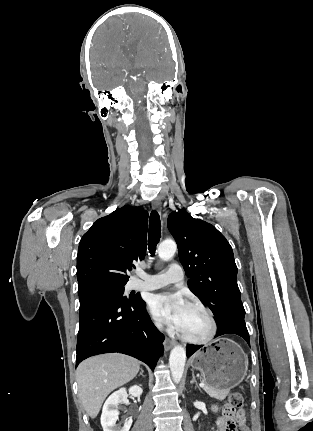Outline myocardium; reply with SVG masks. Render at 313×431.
Instances as JSON below:
<instances>
[{"label":"myocardium","mask_w":313,"mask_h":431,"mask_svg":"<svg viewBox=\"0 0 313 431\" xmlns=\"http://www.w3.org/2000/svg\"><path fill=\"white\" fill-rule=\"evenodd\" d=\"M189 306L193 307V308H197V309L203 311L207 315L209 322H210V325H211V329H210L209 334L204 338H199V339L190 338V337L180 333V335H179L180 339L186 343L194 344V345L208 344L209 342H211L215 338V336L217 335V332H218V323H217L216 317H215V315L211 309H209L207 306H205L204 304H202L200 302H191L189 304Z\"/></svg>","instance_id":"obj_1"}]
</instances>
